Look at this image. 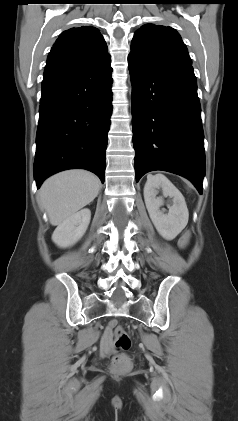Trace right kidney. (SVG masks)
Returning <instances> with one entry per match:
<instances>
[{
  "label": "right kidney",
  "mask_w": 238,
  "mask_h": 421,
  "mask_svg": "<svg viewBox=\"0 0 238 421\" xmlns=\"http://www.w3.org/2000/svg\"><path fill=\"white\" fill-rule=\"evenodd\" d=\"M91 212L85 208L62 222L52 234V241L60 248L74 245L86 232Z\"/></svg>",
  "instance_id": "right-kidney-1"
}]
</instances>
